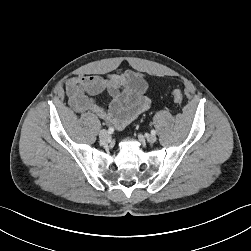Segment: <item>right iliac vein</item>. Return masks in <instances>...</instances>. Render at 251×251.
Instances as JSON below:
<instances>
[{"label": "right iliac vein", "instance_id": "right-iliac-vein-1", "mask_svg": "<svg viewBox=\"0 0 251 251\" xmlns=\"http://www.w3.org/2000/svg\"><path fill=\"white\" fill-rule=\"evenodd\" d=\"M99 138L102 142H106L109 138V133L106 130H101L99 133Z\"/></svg>", "mask_w": 251, "mask_h": 251}]
</instances>
